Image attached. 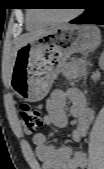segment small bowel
<instances>
[{
    "instance_id": "c3829d8e",
    "label": "small bowel",
    "mask_w": 104,
    "mask_h": 169,
    "mask_svg": "<svg viewBox=\"0 0 104 169\" xmlns=\"http://www.w3.org/2000/svg\"><path fill=\"white\" fill-rule=\"evenodd\" d=\"M67 100L71 101L69 112L77 120L72 139L81 142L94 119V111L87 105L85 96L79 89L71 87L66 91L61 89L53 91L46 102L43 122L45 125L65 128L68 125ZM32 140L43 169H84L87 166L88 157L84 151L74 152L67 145L50 144L43 133L34 135Z\"/></svg>"
}]
</instances>
